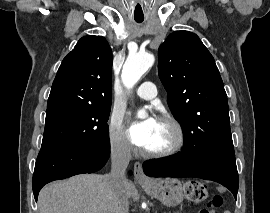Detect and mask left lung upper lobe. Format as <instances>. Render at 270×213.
<instances>
[{"mask_svg":"<svg viewBox=\"0 0 270 213\" xmlns=\"http://www.w3.org/2000/svg\"><path fill=\"white\" fill-rule=\"evenodd\" d=\"M158 54V74L184 141L207 153L233 149L223 81L199 37L189 31H174L160 45Z\"/></svg>","mask_w":270,"mask_h":213,"instance_id":"obj_1","label":"left lung upper lobe"}]
</instances>
